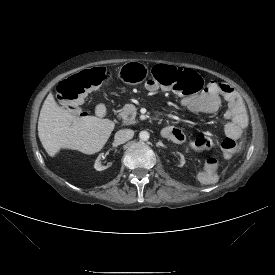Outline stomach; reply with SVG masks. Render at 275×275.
<instances>
[{"instance_id":"1","label":"stomach","mask_w":275,"mask_h":275,"mask_svg":"<svg viewBox=\"0 0 275 275\" xmlns=\"http://www.w3.org/2000/svg\"><path fill=\"white\" fill-rule=\"evenodd\" d=\"M148 68L141 62L129 61L118 70V78L130 85L140 84L147 78Z\"/></svg>"}]
</instances>
